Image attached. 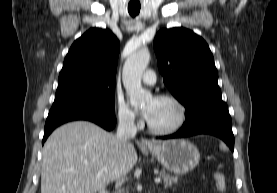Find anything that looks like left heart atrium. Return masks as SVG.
<instances>
[{
	"mask_svg": "<svg viewBox=\"0 0 277 193\" xmlns=\"http://www.w3.org/2000/svg\"><path fill=\"white\" fill-rule=\"evenodd\" d=\"M152 107L153 105L151 104L150 106H148L147 108L144 109L143 111V115L144 117L149 120L150 116H151V113H152Z\"/></svg>",
	"mask_w": 277,
	"mask_h": 193,
	"instance_id": "39dd6f15",
	"label": "left heart atrium"
}]
</instances>
